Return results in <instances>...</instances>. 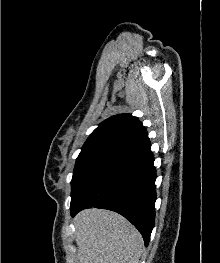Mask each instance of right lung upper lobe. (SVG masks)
Instances as JSON below:
<instances>
[{"mask_svg":"<svg viewBox=\"0 0 220 263\" xmlns=\"http://www.w3.org/2000/svg\"><path fill=\"white\" fill-rule=\"evenodd\" d=\"M148 139L142 123L130 114H119L103 121L91 133L82 151H120Z\"/></svg>","mask_w":220,"mask_h":263,"instance_id":"1","label":"right lung upper lobe"}]
</instances>
